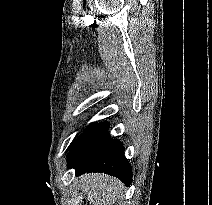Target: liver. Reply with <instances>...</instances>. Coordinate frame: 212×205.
Listing matches in <instances>:
<instances>
[{
    "label": "liver",
    "mask_w": 212,
    "mask_h": 205,
    "mask_svg": "<svg viewBox=\"0 0 212 205\" xmlns=\"http://www.w3.org/2000/svg\"><path fill=\"white\" fill-rule=\"evenodd\" d=\"M80 182L90 205H113L124 188L118 179L105 174H86L80 177Z\"/></svg>",
    "instance_id": "1"
}]
</instances>
